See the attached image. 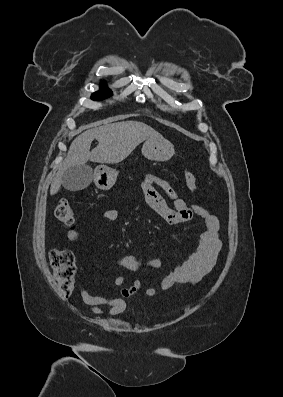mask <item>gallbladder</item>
Masks as SVG:
<instances>
[{"label": "gallbladder", "instance_id": "gallbladder-1", "mask_svg": "<svg viewBox=\"0 0 283 397\" xmlns=\"http://www.w3.org/2000/svg\"><path fill=\"white\" fill-rule=\"evenodd\" d=\"M92 168L88 165L69 167L62 176V185L69 191L85 189L92 181Z\"/></svg>", "mask_w": 283, "mask_h": 397}]
</instances>
